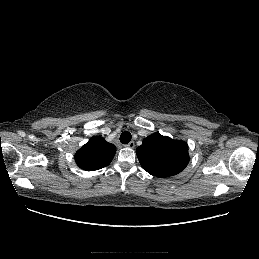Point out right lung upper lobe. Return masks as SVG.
Masks as SVG:
<instances>
[{"label":"right lung upper lobe","mask_w":259,"mask_h":259,"mask_svg":"<svg viewBox=\"0 0 259 259\" xmlns=\"http://www.w3.org/2000/svg\"><path fill=\"white\" fill-rule=\"evenodd\" d=\"M116 147L100 136L92 137L75 154L76 164L83 170L94 171L106 167L112 161Z\"/></svg>","instance_id":"cb5924a9"}]
</instances>
